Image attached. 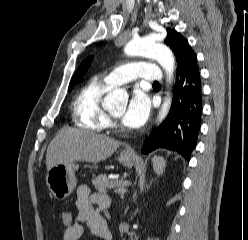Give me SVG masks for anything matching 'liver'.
<instances>
[{"label":"liver","mask_w":248,"mask_h":240,"mask_svg":"<svg viewBox=\"0 0 248 240\" xmlns=\"http://www.w3.org/2000/svg\"><path fill=\"white\" fill-rule=\"evenodd\" d=\"M120 142L105 135L80 129L60 131L48 146L46 167L74 161L100 162L110 157Z\"/></svg>","instance_id":"obj_1"}]
</instances>
